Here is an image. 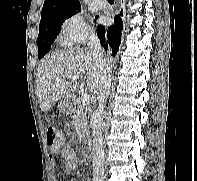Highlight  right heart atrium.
I'll return each mask as SVG.
<instances>
[{"label": "right heart atrium", "instance_id": "right-heart-atrium-1", "mask_svg": "<svg viewBox=\"0 0 197 181\" xmlns=\"http://www.w3.org/2000/svg\"><path fill=\"white\" fill-rule=\"evenodd\" d=\"M60 37L68 45L79 46L93 38V31L84 16L79 12H74L63 20Z\"/></svg>", "mask_w": 197, "mask_h": 181}]
</instances>
